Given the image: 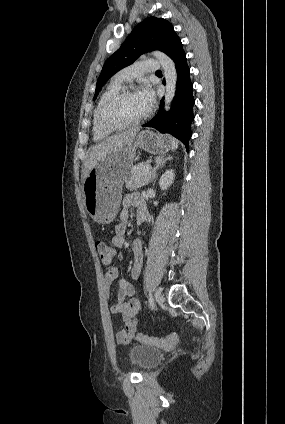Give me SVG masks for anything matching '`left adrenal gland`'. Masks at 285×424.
Listing matches in <instances>:
<instances>
[{
  "mask_svg": "<svg viewBox=\"0 0 285 424\" xmlns=\"http://www.w3.org/2000/svg\"><path fill=\"white\" fill-rule=\"evenodd\" d=\"M172 158L171 157H163V156H158L155 158V166L152 169V177H151V182H153L156 178V172L159 168L163 167L165 165V163L167 161H170Z\"/></svg>",
  "mask_w": 285,
  "mask_h": 424,
  "instance_id": "a2214340",
  "label": "left adrenal gland"
}]
</instances>
